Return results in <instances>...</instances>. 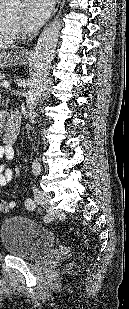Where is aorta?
<instances>
[{
  "label": "aorta",
  "mask_w": 129,
  "mask_h": 309,
  "mask_svg": "<svg viewBox=\"0 0 129 309\" xmlns=\"http://www.w3.org/2000/svg\"><path fill=\"white\" fill-rule=\"evenodd\" d=\"M61 28L62 22L55 20L45 27L38 39L32 57L31 75L26 95V106L29 113L34 111L44 93Z\"/></svg>",
  "instance_id": "762f6f07"
}]
</instances>
